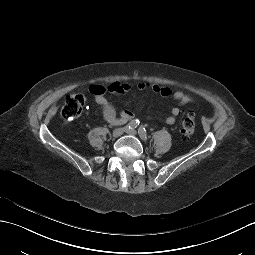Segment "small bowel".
<instances>
[{
  "instance_id": "obj_1",
  "label": "small bowel",
  "mask_w": 255,
  "mask_h": 255,
  "mask_svg": "<svg viewBox=\"0 0 255 255\" xmlns=\"http://www.w3.org/2000/svg\"><path fill=\"white\" fill-rule=\"evenodd\" d=\"M139 90L151 89L154 93L160 94L163 97H171L177 106L171 109V114L163 118L164 122L168 125L175 123L177 117L180 114L178 106L192 103V99L181 90L172 91L168 87H162L159 85H149L147 83L137 84ZM132 89L130 83L120 84L118 82L111 83L107 87L102 85H91L89 92L93 95L96 103L100 106L102 114L105 120L112 125L124 124L135 117V113L132 110L117 111L113 103L108 99V93H124ZM148 118H154V116H148Z\"/></svg>"
}]
</instances>
